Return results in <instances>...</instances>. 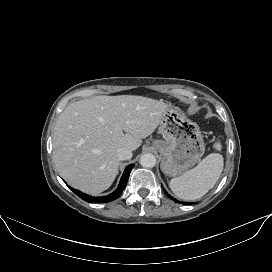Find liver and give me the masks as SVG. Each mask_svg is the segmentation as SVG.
Segmentation results:
<instances>
[{"instance_id":"liver-1","label":"liver","mask_w":272,"mask_h":272,"mask_svg":"<svg viewBox=\"0 0 272 272\" xmlns=\"http://www.w3.org/2000/svg\"><path fill=\"white\" fill-rule=\"evenodd\" d=\"M168 108L161 100L135 95L95 96L70 104L58 116L52 135L59 174L83 192L107 190L117 175V150H136Z\"/></svg>"}]
</instances>
